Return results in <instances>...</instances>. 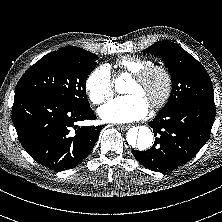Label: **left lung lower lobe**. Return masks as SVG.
I'll return each mask as SVG.
<instances>
[{
  "label": "left lung lower lobe",
  "mask_w": 222,
  "mask_h": 222,
  "mask_svg": "<svg viewBox=\"0 0 222 222\" xmlns=\"http://www.w3.org/2000/svg\"><path fill=\"white\" fill-rule=\"evenodd\" d=\"M216 116L214 102H184L166 112H159L149 123L156 137L147 151L132 150L146 168L167 172L191 160L210 137Z\"/></svg>",
  "instance_id": "0a47b994"
}]
</instances>
